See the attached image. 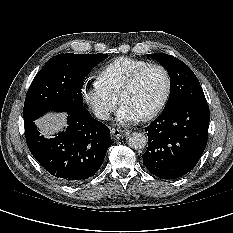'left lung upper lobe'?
<instances>
[{"instance_id":"obj_1","label":"left lung upper lobe","mask_w":233,"mask_h":233,"mask_svg":"<svg viewBox=\"0 0 233 233\" xmlns=\"http://www.w3.org/2000/svg\"><path fill=\"white\" fill-rule=\"evenodd\" d=\"M149 56L161 63L170 76V95L164 110L186 102L206 103L197 77L184 62L168 54Z\"/></svg>"}]
</instances>
